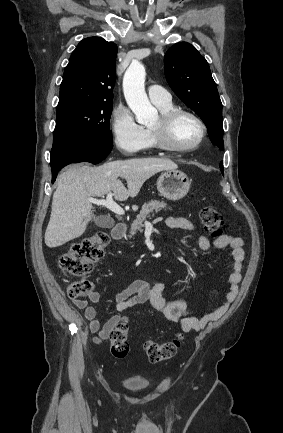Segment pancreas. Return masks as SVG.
<instances>
[{"label": "pancreas", "mask_w": 283, "mask_h": 433, "mask_svg": "<svg viewBox=\"0 0 283 433\" xmlns=\"http://www.w3.org/2000/svg\"><path fill=\"white\" fill-rule=\"evenodd\" d=\"M167 202H164V200H150V202H144L139 214H137V219L133 221L130 229V235L128 237H133V235H136V231H140V233H143L142 225L143 221L147 219V217H150V212H158V210H162V208H166ZM152 217H154V214H152Z\"/></svg>", "instance_id": "1"}]
</instances>
